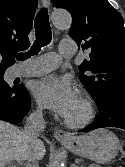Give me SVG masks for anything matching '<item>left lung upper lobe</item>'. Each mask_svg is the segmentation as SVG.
Instances as JSON below:
<instances>
[{
  "mask_svg": "<svg viewBox=\"0 0 125 167\" xmlns=\"http://www.w3.org/2000/svg\"><path fill=\"white\" fill-rule=\"evenodd\" d=\"M52 4L71 13L69 35L83 50L91 52L90 60H84L79 70L96 104L100 106L110 96H125L122 15L107 0H52Z\"/></svg>",
  "mask_w": 125,
  "mask_h": 167,
  "instance_id": "left-lung-upper-lobe-1",
  "label": "left lung upper lobe"
}]
</instances>
